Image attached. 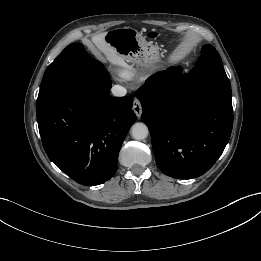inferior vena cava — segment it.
Masks as SVG:
<instances>
[{"label": "inferior vena cava", "instance_id": "602c4592", "mask_svg": "<svg viewBox=\"0 0 261 261\" xmlns=\"http://www.w3.org/2000/svg\"><path fill=\"white\" fill-rule=\"evenodd\" d=\"M112 94L116 97H123L126 95L127 90L126 88L120 86V85H114L111 89Z\"/></svg>", "mask_w": 261, "mask_h": 261}]
</instances>
